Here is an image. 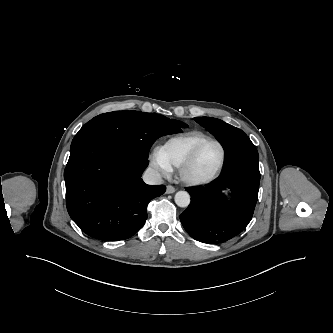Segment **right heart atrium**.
Wrapping results in <instances>:
<instances>
[{"instance_id":"obj_1","label":"right heart atrium","mask_w":333,"mask_h":333,"mask_svg":"<svg viewBox=\"0 0 333 333\" xmlns=\"http://www.w3.org/2000/svg\"><path fill=\"white\" fill-rule=\"evenodd\" d=\"M150 165L160 175L169 176L172 172V167L164 160L159 149H154L150 155Z\"/></svg>"}]
</instances>
